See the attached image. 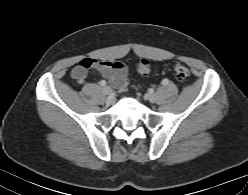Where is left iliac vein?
Here are the masks:
<instances>
[{
	"label": "left iliac vein",
	"mask_w": 248,
	"mask_h": 195,
	"mask_svg": "<svg viewBox=\"0 0 248 195\" xmlns=\"http://www.w3.org/2000/svg\"><path fill=\"white\" fill-rule=\"evenodd\" d=\"M147 98H148V100H149L151 103H154V102H156V100H157V96H156L155 93H149V94H147Z\"/></svg>",
	"instance_id": "4c4485c4"
}]
</instances>
